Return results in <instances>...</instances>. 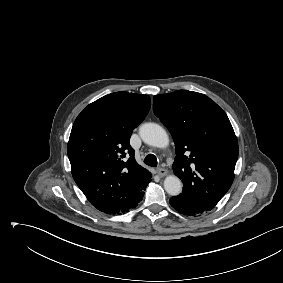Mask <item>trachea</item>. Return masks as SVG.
Here are the masks:
<instances>
[{"label": "trachea", "mask_w": 283, "mask_h": 283, "mask_svg": "<svg viewBox=\"0 0 283 283\" xmlns=\"http://www.w3.org/2000/svg\"><path fill=\"white\" fill-rule=\"evenodd\" d=\"M144 163L151 167H157L158 164L157 158L153 154H148L144 159Z\"/></svg>", "instance_id": "trachea-1"}]
</instances>
